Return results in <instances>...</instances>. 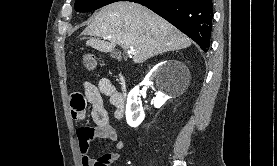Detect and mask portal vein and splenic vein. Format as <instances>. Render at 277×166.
<instances>
[{
  "label": "portal vein and splenic vein",
  "mask_w": 277,
  "mask_h": 166,
  "mask_svg": "<svg viewBox=\"0 0 277 166\" xmlns=\"http://www.w3.org/2000/svg\"><path fill=\"white\" fill-rule=\"evenodd\" d=\"M107 38H110V36H108ZM130 53H131L132 55H135V54H136V50H135V49H131V50H130Z\"/></svg>",
  "instance_id": "18ae733b"
}]
</instances>
